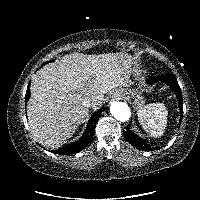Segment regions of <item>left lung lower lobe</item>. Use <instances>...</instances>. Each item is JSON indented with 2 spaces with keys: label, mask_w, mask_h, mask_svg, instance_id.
Here are the masks:
<instances>
[{
  "label": "left lung lower lobe",
  "mask_w": 200,
  "mask_h": 200,
  "mask_svg": "<svg viewBox=\"0 0 200 200\" xmlns=\"http://www.w3.org/2000/svg\"><path fill=\"white\" fill-rule=\"evenodd\" d=\"M157 81H163V82L167 83L170 86V88L175 92L176 97L179 101L180 123H181V120L183 117V100H182L181 89L178 85V82H177L175 76L171 75V74H164V75H160V76L151 78L147 82L149 84H153ZM123 134H124L125 138L127 139V141L131 145H133L143 151H151V150L157 149L155 147H152L146 140L142 139L141 137H138L134 132H132L130 130L129 126L126 127V130L123 131Z\"/></svg>",
  "instance_id": "obj_1"
}]
</instances>
